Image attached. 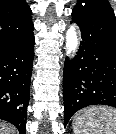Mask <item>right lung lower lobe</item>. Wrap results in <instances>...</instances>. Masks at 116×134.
Returning <instances> with one entry per match:
<instances>
[{"label":"right lung lower lobe","instance_id":"right-lung-lower-lobe-1","mask_svg":"<svg viewBox=\"0 0 116 134\" xmlns=\"http://www.w3.org/2000/svg\"><path fill=\"white\" fill-rule=\"evenodd\" d=\"M34 59L33 30L0 52V119L26 133L27 107Z\"/></svg>","mask_w":116,"mask_h":134}]
</instances>
